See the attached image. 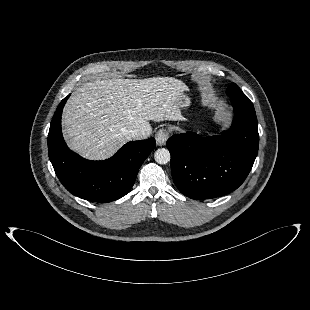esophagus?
Returning a JSON list of instances; mask_svg holds the SVG:
<instances>
[{"label":"esophagus","instance_id":"esophagus-1","mask_svg":"<svg viewBox=\"0 0 310 310\" xmlns=\"http://www.w3.org/2000/svg\"><path fill=\"white\" fill-rule=\"evenodd\" d=\"M169 137V133L166 129H160L157 131L155 139L158 146L165 145L167 139Z\"/></svg>","mask_w":310,"mask_h":310}]
</instances>
